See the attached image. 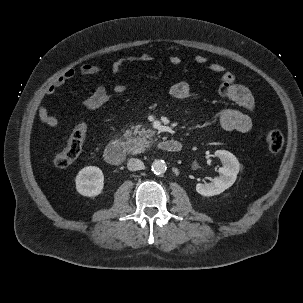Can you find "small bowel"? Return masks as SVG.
Returning a JSON list of instances; mask_svg holds the SVG:
<instances>
[{
  "mask_svg": "<svg viewBox=\"0 0 303 303\" xmlns=\"http://www.w3.org/2000/svg\"><path fill=\"white\" fill-rule=\"evenodd\" d=\"M153 60V55L148 53H143L136 56L122 57L117 59L112 64L111 70L114 74H119L122 68L128 64L148 63ZM169 62L175 68H181L183 66L182 59L175 55L170 56ZM194 62L197 65L207 67L211 73L221 74V82L218 87L219 94L240 108H226L221 110L218 113V121L220 126L227 131H238L241 133L249 132L253 126L250 112L254 108V98L249 88L237 83L235 76L231 72L226 71L225 67L221 63L209 62L204 55H196L194 57ZM100 71V66L93 63H85L80 67V73L84 76L96 75L100 73ZM75 75V70H66L59 77H57L51 85L46 88L45 95H53L57 89L62 87L66 82L73 79ZM127 88L128 86L124 83H116L112 86L111 89L100 85L95 89L91 96L81 100V104L87 106L90 100L98 98L104 94H122L126 92ZM170 94L177 100H187L192 97L193 92L188 82L179 81L170 87ZM37 113L43 124L49 127H54L57 125L56 117L51 114L45 106L40 105L38 107Z\"/></svg>",
  "mask_w": 303,
  "mask_h": 303,
  "instance_id": "1",
  "label": "small bowel"
}]
</instances>
